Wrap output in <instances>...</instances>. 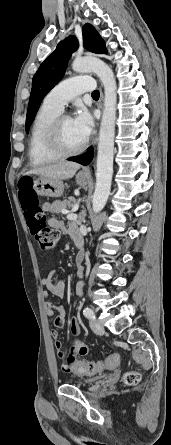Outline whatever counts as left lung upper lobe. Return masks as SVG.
I'll use <instances>...</instances> for the list:
<instances>
[{"mask_svg": "<svg viewBox=\"0 0 171 445\" xmlns=\"http://www.w3.org/2000/svg\"><path fill=\"white\" fill-rule=\"evenodd\" d=\"M84 47L96 54L106 53L105 42L90 24H85L82 29ZM78 48V41L74 36H69L61 41L55 51L50 54L40 65L33 76L32 89L26 116V132L35 118L45 95L63 78L71 54Z\"/></svg>", "mask_w": 171, "mask_h": 445, "instance_id": "obj_1", "label": "left lung upper lobe"}]
</instances>
